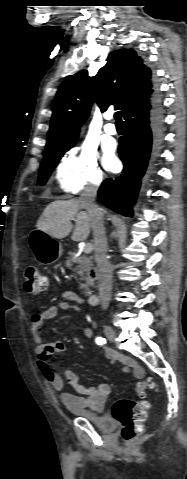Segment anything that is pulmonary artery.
<instances>
[{
	"label": "pulmonary artery",
	"mask_w": 187,
	"mask_h": 479,
	"mask_svg": "<svg viewBox=\"0 0 187 479\" xmlns=\"http://www.w3.org/2000/svg\"><path fill=\"white\" fill-rule=\"evenodd\" d=\"M107 120H112V115H109L107 116ZM104 131L108 134V135H115L117 133V129L115 127V125L111 122H108L105 127H104Z\"/></svg>",
	"instance_id": "e3ab8cb5"
}]
</instances>
